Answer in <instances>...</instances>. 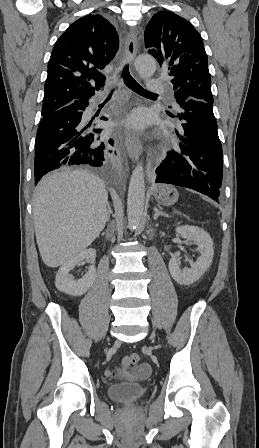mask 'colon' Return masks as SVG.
I'll return each mask as SVG.
<instances>
[{"mask_svg": "<svg viewBox=\"0 0 259 448\" xmlns=\"http://www.w3.org/2000/svg\"><path fill=\"white\" fill-rule=\"evenodd\" d=\"M128 360L131 364H137L140 361V357L138 354L132 353L131 355L128 356Z\"/></svg>", "mask_w": 259, "mask_h": 448, "instance_id": "1", "label": "colon"}]
</instances>
